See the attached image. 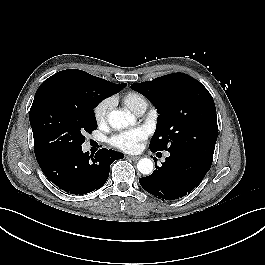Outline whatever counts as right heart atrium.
<instances>
[{"label": "right heart atrium", "mask_w": 265, "mask_h": 265, "mask_svg": "<svg viewBox=\"0 0 265 265\" xmlns=\"http://www.w3.org/2000/svg\"><path fill=\"white\" fill-rule=\"evenodd\" d=\"M112 107L113 100L111 98L101 100L93 109L95 121L100 125L107 123Z\"/></svg>", "instance_id": "obj_1"}]
</instances>
